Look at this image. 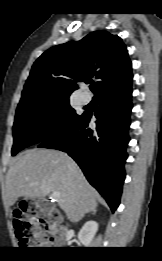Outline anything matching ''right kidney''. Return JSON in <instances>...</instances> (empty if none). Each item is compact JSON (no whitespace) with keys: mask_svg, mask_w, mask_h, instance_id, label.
I'll return each mask as SVG.
<instances>
[{"mask_svg":"<svg viewBox=\"0 0 162 261\" xmlns=\"http://www.w3.org/2000/svg\"><path fill=\"white\" fill-rule=\"evenodd\" d=\"M98 230L96 221H87L78 233V239L84 246H89Z\"/></svg>","mask_w":162,"mask_h":261,"instance_id":"obj_1","label":"right kidney"}]
</instances>
